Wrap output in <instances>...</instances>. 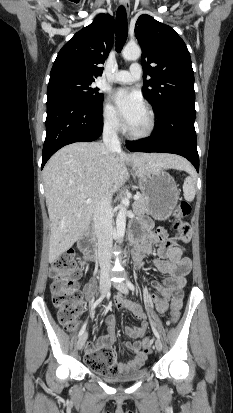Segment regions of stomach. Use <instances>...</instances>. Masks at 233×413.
<instances>
[{
	"label": "stomach",
	"instance_id": "obj_1",
	"mask_svg": "<svg viewBox=\"0 0 233 413\" xmlns=\"http://www.w3.org/2000/svg\"><path fill=\"white\" fill-rule=\"evenodd\" d=\"M139 187L148 201V213L158 220L169 218L175 209L179 191L167 172L157 170L139 177Z\"/></svg>",
	"mask_w": 233,
	"mask_h": 413
}]
</instances>
